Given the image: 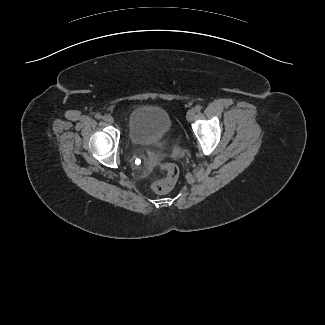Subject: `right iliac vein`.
<instances>
[{
  "label": "right iliac vein",
  "instance_id": "63e3f726",
  "mask_svg": "<svg viewBox=\"0 0 325 325\" xmlns=\"http://www.w3.org/2000/svg\"><path fill=\"white\" fill-rule=\"evenodd\" d=\"M103 120H104L106 123H108V124H112V123H114V119H113V117H111L110 115H104V116H103Z\"/></svg>",
  "mask_w": 325,
  "mask_h": 325
}]
</instances>
